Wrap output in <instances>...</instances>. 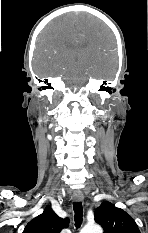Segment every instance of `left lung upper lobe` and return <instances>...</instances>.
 <instances>
[{"mask_svg":"<svg viewBox=\"0 0 148 233\" xmlns=\"http://www.w3.org/2000/svg\"><path fill=\"white\" fill-rule=\"evenodd\" d=\"M95 221L103 227L104 233H140L133 218L110 202H103L95 210Z\"/></svg>","mask_w":148,"mask_h":233,"instance_id":"left-lung-upper-lobe-1","label":"left lung upper lobe"}]
</instances>
